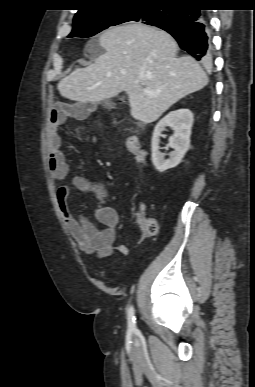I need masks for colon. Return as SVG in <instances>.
I'll return each mask as SVG.
<instances>
[{
	"label": "colon",
	"instance_id": "1",
	"mask_svg": "<svg viewBox=\"0 0 255 387\" xmlns=\"http://www.w3.org/2000/svg\"><path fill=\"white\" fill-rule=\"evenodd\" d=\"M125 146L141 165L145 166L147 164L146 152L137 137L128 136L125 139ZM136 226L140 235L144 238L151 237L158 231L157 220L154 217L147 216L142 208H139L136 212Z\"/></svg>",
	"mask_w": 255,
	"mask_h": 387
}]
</instances>
